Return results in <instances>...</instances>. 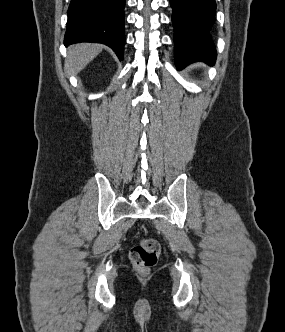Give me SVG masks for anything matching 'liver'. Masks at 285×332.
I'll return each mask as SVG.
<instances>
[{"label":"liver","mask_w":285,"mask_h":332,"mask_svg":"<svg viewBox=\"0 0 285 332\" xmlns=\"http://www.w3.org/2000/svg\"><path fill=\"white\" fill-rule=\"evenodd\" d=\"M103 46L93 43H79L69 47L65 68L76 75L82 71L101 51Z\"/></svg>","instance_id":"liver-1"}]
</instances>
